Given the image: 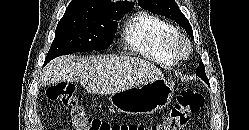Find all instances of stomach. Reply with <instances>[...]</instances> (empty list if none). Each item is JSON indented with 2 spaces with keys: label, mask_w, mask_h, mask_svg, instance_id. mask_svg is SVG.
<instances>
[{
  "label": "stomach",
  "mask_w": 249,
  "mask_h": 130,
  "mask_svg": "<svg viewBox=\"0 0 249 130\" xmlns=\"http://www.w3.org/2000/svg\"><path fill=\"white\" fill-rule=\"evenodd\" d=\"M174 96L173 83L164 78L111 94L110 102L125 114H151L166 107Z\"/></svg>",
  "instance_id": "0dacf381"
}]
</instances>
